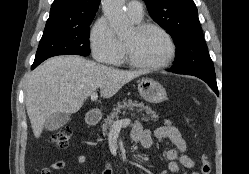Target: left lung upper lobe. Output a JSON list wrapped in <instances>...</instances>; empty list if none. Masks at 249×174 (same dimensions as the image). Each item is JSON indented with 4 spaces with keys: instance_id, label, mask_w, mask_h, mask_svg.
<instances>
[{
    "instance_id": "left-lung-upper-lobe-1",
    "label": "left lung upper lobe",
    "mask_w": 249,
    "mask_h": 174,
    "mask_svg": "<svg viewBox=\"0 0 249 174\" xmlns=\"http://www.w3.org/2000/svg\"><path fill=\"white\" fill-rule=\"evenodd\" d=\"M144 1L151 18L172 36L176 45L172 69L179 73L215 74L193 0Z\"/></svg>"
}]
</instances>
